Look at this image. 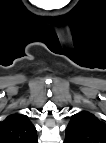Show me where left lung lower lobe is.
Returning <instances> with one entry per match:
<instances>
[{
	"instance_id": "1",
	"label": "left lung lower lobe",
	"mask_w": 106,
	"mask_h": 143,
	"mask_svg": "<svg viewBox=\"0 0 106 143\" xmlns=\"http://www.w3.org/2000/svg\"><path fill=\"white\" fill-rule=\"evenodd\" d=\"M68 140L70 141V143H73V141L69 138V136L66 134V137H65V141Z\"/></svg>"
}]
</instances>
